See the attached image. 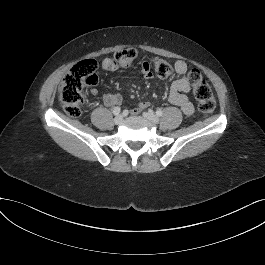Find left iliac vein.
<instances>
[{"instance_id":"left-iliac-vein-1","label":"left iliac vein","mask_w":265,"mask_h":265,"mask_svg":"<svg viewBox=\"0 0 265 265\" xmlns=\"http://www.w3.org/2000/svg\"><path fill=\"white\" fill-rule=\"evenodd\" d=\"M143 116L144 118H146L147 120H149L150 122L154 124H157L159 122V118L151 112H144Z\"/></svg>"}]
</instances>
